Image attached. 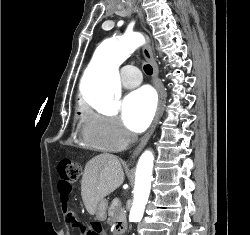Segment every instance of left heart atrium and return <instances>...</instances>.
<instances>
[{
    "label": "left heart atrium",
    "instance_id": "left-heart-atrium-1",
    "mask_svg": "<svg viewBox=\"0 0 250 235\" xmlns=\"http://www.w3.org/2000/svg\"><path fill=\"white\" fill-rule=\"evenodd\" d=\"M156 109V98L148 87L128 94L121 105L124 124L133 132H142L151 122Z\"/></svg>",
    "mask_w": 250,
    "mask_h": 235
}]
</instances>
